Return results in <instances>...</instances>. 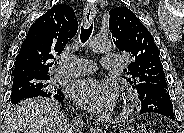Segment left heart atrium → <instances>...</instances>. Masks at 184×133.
<instances>
[{"label": "left heart atrium", "mask_w": 184, "mask_h": 133, "mask_svg": "<svg viewBox=\"0 0 184 133\" xmlns=\"http://www.w3.org/2000/svg\"><path fill=\"white\" fill-rule=\"evenodd\" d=\"M74 102L91 112L105 113L116 103L118 92L113 82L86 78L75 81L70 89Z\"/></svg>", "instance_id": "obj_1"}]
</instances>
